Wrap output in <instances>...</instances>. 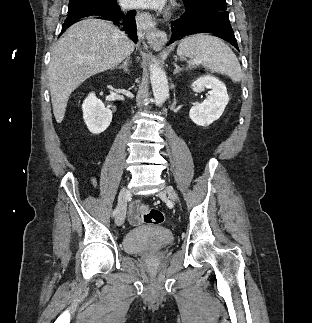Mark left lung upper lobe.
<instances>
[{"mask_svg":"<svg viewBox=\"0 0 312 323\" xmlns=\"http://www.w3.org/2000/svg\"><path fill=\"white\" fill-rule=\"evenodd\" d=\"M185 2V7L187 12H191L197 9L198 5L209 0H183Z\"/></svg>","mask_w":312,"mask_h":323,"instance_id":"left-lung-upper-lobe-1","label":"left lung upper lobe"}]
</instances>
